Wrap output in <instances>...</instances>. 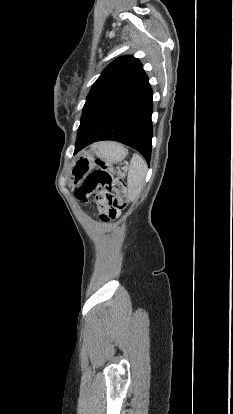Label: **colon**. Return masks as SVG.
<instances>
[{"instance_id":"obj_1","label":"colon","mask_w":233,"mask_h":414,"mask_svg":"<svg viewBox=\"0 0 233 414\" xmlns=\"http://www.w3.org/2000/svg\"><path fill=\"white\" fill-rule=\"evenodd\" d=\"M89 195L100 209V219L109 221L128 205L125 182L113 177L110 164L97 160L96 168L87 176L78 190V197L85 201Z\"/></svg>"}]
</instances>
